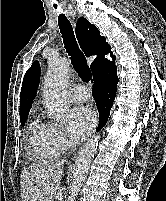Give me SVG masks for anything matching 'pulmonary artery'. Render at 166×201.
Masks as SVG:
<instances>
[{"instance_id": "1", "label": "pulmonary artery", "mask_w": 166, "mask_h": 201, "mask_svg": "<svg viewBox=\"0 0 166 201\" xmlns=\"http://www.w3.org/2000/svg\"><path fill=\"white\" fill-rule=\"evenodd\" d=\"M89 96L90 93L84 86H76L70 91V97L75 102H84Z\"/></svg>"}]
</instances>
